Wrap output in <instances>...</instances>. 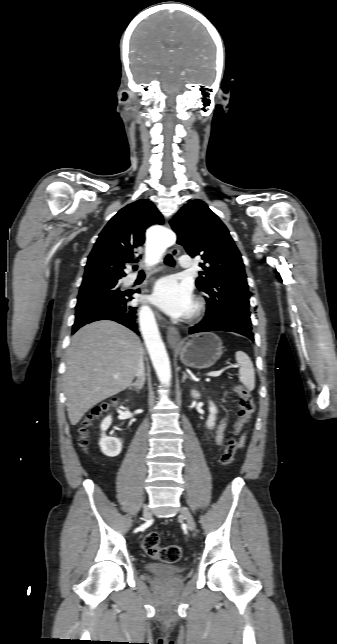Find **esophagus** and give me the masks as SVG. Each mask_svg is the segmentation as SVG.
I'll return each mask as SVG.
<instances>
[{
	"mask_svg": "<svg viewBox=\"0 0 337 644\" xmlns=\"http://www.w3.org/2000/svg\"><path fill=\"white\" fill-rule=\"evenodd\" d=\"M170 254L174 257H176L179 254L178 248L174 247L170 250ZM167 340L168 343L172 346H176L180 344L181 342V336L178 331V329L174 326H169L168 332H167Z\"/></svg>",
	"mask_w": 337,
	"mask_h": 644,
	"instance_id": "esophagus-1",
	"label": "esophagus"
}]
</instances>
